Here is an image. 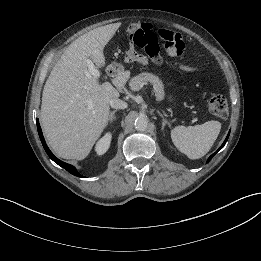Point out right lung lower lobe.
<instances>
[{
	"label": "right lung lower lobe",
	"mask_w": 261,
	"mask_h": 261,
	"mask_svg": "<svg viewBox=\"0 0 261 261\" xmlns=\"http://www.w3.org/2000/svg\"><path fill=\"white\" fill-rule=\"evenodd\" d=\"M36 123H37V128H38V133H39V137L41 139V142H42V145L46 151V153L48 154V156L55 162L57 163L59 166L63 167L64 169H66L68 172H70L71 174L75 175V176H78V177H81V175L77 172L76 168L70 164H67L65 162H62L61 160H59L58 158H56L52 152L49 150V148L47 147L46 143H45V140H44V137H43V134H42V131H41V127H40V124H39V121L38 119H36Z\"/></svg>",
	"instance_id": "obj_1"
}]
</instances>
